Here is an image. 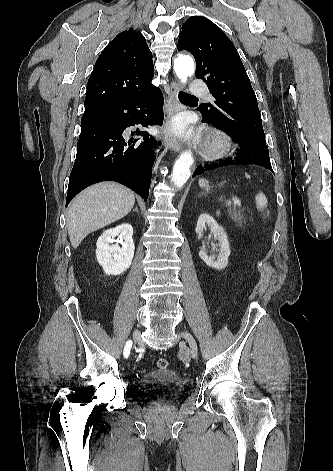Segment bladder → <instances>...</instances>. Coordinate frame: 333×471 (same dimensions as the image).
<instances>
[{
	"instance_id": "bladder-1",
	"label": "bladder",
	"mask_w": 333,
	"mask_h": 471,
	"mask_svg": "<svg viewBox=\"0 0 333 471\" xmlns=\"http://www.w3.org/2000/svg\"><path fill=\"white\" fill-rule=\"evenodd\" d=\"M184 389V379L177 372L169 369L148 371L135 385L138 397L161 401L176 399Z\"/></svg>"
}]
</instances>
